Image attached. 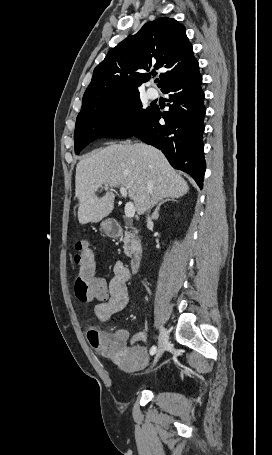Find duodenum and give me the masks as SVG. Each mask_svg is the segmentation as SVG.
<instances>
[{
  "label": "duodenum",
  "instance_id": "1",
  "mask_svg": "<svg viewBox=\"0 0 272 455\" xmlns=\"http://www.w3.org/2000/svg\"><path fill=\"white\" fill-rule=\"evenodd\" d=\"M107 232L111 237H119L123 234V228L118 222H111L108 225ZM142 260V251L135 248L130 256V269L133 273L138 272Z\"/></svg>",
  "mask_w": 272,
  "mask_h": 455
}]
</instances>
